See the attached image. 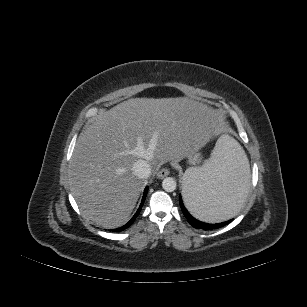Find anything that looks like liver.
<instances>
[{
  "instance_id": "1",
  "label": "liver",
  "mask_w": 307,
  "mask_h": 307,
  "mask_svg": "<svg viewBox=\"0 0 307 307\" xmlns=\"http://www.w3.org/2000/svg\"><path fill=\"white\" fill-rule=\"evenodd\" d=\"M219 120L217 111L186 97L132 98L101 112L70 160V188L83 216L106 229L124 225L143 188L133 164L179 161L191 145L210 140Z\"/></svg>"
}]
</instances>
